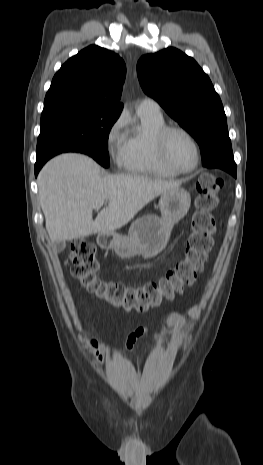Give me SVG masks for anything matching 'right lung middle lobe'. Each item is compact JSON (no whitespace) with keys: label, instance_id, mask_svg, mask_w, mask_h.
Instances as JSON below:
<instances>
[{"label":"right lung middle lobe","instance_id":"obj_1","mask_svg":"<svg viewBox=\"0 0 263 465\" xmlns=\"http://www.w3.org/2000/svg\"><path fill=\"white\" fill-rule=\"evenodd\" d=\"M121 110L79 103L44 105L37 143V164L63 152H79L109 166L107 149L111 127Z\"/></svg>","mask_w":263,"mask_h":465}]
</instances>
